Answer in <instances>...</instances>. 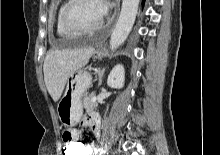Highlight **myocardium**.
<instances>
[{
  "instance_id": "myocardium-1",
  "label": "myocardium",
  "mask_w": 220,
  "mask_h": 155,
  "mask_svg": "<svg viewBox=\"0 0 220 155\" xmlns=\"http://www.w3.org/2000/svg\"><path fill=\"white\" fill-rule=\"evenodd\" d=\"M81 0H68L61 13V23L63 27L74 34H87L100 29L104 24V19L98 24L90 27L77 24L72 19V11Z\"/></svg>"
}]
</instances>
